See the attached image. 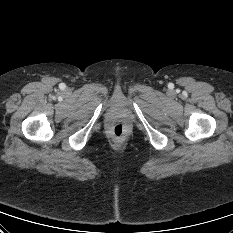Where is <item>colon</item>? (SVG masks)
I'll list each match as a JSON object with an SVG mask.
<instances>
[{"label":"colon","mask_w":233,"mask_h":233,"mask_svg":"<svg viewBox=\"0 0 233 233\" xmlns=\"http://www.w3.org/2000/svg\"><path fill=\"white\" fill-rule=\"evenodd\" d=\"M126 129L125 126L122 123H117L113 126L112 128V133L116 136V137H121L124 135Z\"/></svg>","instance_id":"obj_1"}]
</instances>
